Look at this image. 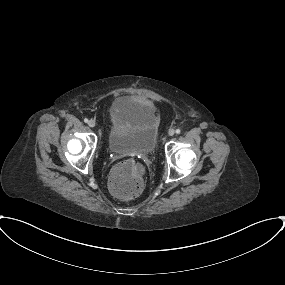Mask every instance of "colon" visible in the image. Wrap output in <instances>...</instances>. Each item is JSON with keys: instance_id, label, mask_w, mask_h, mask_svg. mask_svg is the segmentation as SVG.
Masks as SVG:
<instances>
[{"instance_id": "1", "label": "colon", "mask_w": 285, "mask_h": 285, "mask_svg": "<svg viewBox=\"0 0 285 285\" xmlns=\"http://www.w3.org/2000/svg\"><path fill=\"white\" fill-rule=\"evenodd\" d=\"M144 189L143 167L137 162L117 165L109 176L111 194L121 200L138 197Z\"/></svg>"}]
</instances>
